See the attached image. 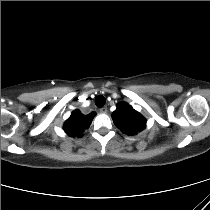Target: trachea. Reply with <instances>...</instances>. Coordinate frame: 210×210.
<instances>
[{"instance_id": "obj_1", "label": "trachea", "mask_w": 210, "mask_h": 210, "mask_svg": "<svg viewBox=\"0 0 210 210\" xmlns=\"http://www.w3.org/2000/svg\"><path fill=\"white\" fill-rule=\"evenodd\" d=\"M106 103V99L102 95H98L95 99V104L97 107H103Z\"/></svg>"}]
</instances>
